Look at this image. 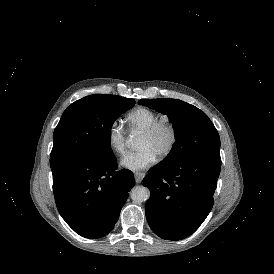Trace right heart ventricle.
<instances>
[{
  "label": "right heart ventricle",
  "mask_w": 274,
  "mask_h": 274,
  "mask_svg": "<svg viewBox=\"0 0 274 274\" xmlns=\"http://www.w3.org/2000/svg\"><path fill=\"white\" fill-rule=\"evenodd\" d=\"M159 121V116L150 110L141 109L126 117L127 127L130 132H143Z\"/></svg>",
  "instance_id": "e07e8e85"
}]
</instances>
